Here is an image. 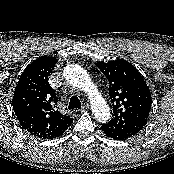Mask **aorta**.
<instances>
[{"label": "aorta", "instance_id": "762f6f07", "mask_svg": "<svg viewBox=\"0 0 174 174\" xmlns=\"http://www.w3.org/2000/svg\"><path fill=\"white\" fill-rule=\"evenodd\" d=\"M64 77L73 86L83 89L89 96L92 112L99 122L110 118V108L87 71L78 64H69L64 69Z\"/></svg>", "mask_w": 174, "mask_h": 174}]
</instances>
